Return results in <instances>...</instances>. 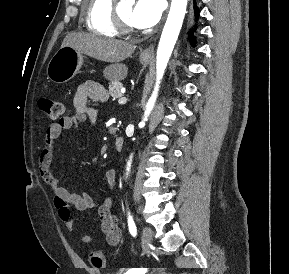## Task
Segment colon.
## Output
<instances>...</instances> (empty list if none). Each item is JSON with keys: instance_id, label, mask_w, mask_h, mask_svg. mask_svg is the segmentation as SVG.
Listing matches in <instances>:
<instances>
[{"instance_id": "5ec220e1", "label": "colon", "mask_w": 289, "mask_h": 274, "mask_svg": "<svg viewBox=\"0 0 289 274\" xmlns=\"http://www.w3.org/2000/svg\"><path fill=\"white\" fill-rule=\"evenodd\" d=\"M40 109L48 116V118L55 120L63 114V104L53 99H40ZM90 262L97 269H103L106 266V259L100 251H93L90 254ZM127 274H133L129 271Z\"/></svg>"}]
</instances>
